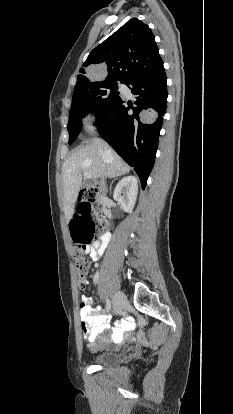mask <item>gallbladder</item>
Wrapping results in <instances>:
<instances>
[{"instance_id":"gallbladder-1","label":"gallbladder","mask_w":233,"mask_h":414,"mask_svg":"<svg viewBox=\"0 0 233 414\" xmlns=\"http://www.w3.org/2000/svg\"><path fill=\"white\" fill-rule=\"evenodd\" d=\"M90 185H91V183H87V182L84 183V186H86V187L90 186Z\"/></svg>"}]
</instances>
